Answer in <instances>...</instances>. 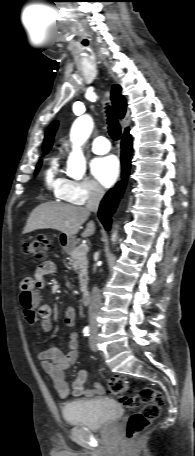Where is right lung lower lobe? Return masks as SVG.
Listing matches in <instances>:
<instances>
[{
    "instance_id": "1",
    "label": "right lung lower lobe",
    "mask_w": 195,
    "mask_h": 456,
    "mask_svg": "<svg viewBox=\"0 0 195 456\" xmlns=\"http://www.w3.org/2000/svg\"><path fill=\"white\" fill-rule=\"evenodd\" d=\"M121 146L122 181L118 182L114 188L107 192L100 204L98 212L99 219L106 230L110 229L111 215L115 212L118 201L124 192L126 180L130 170L132 138L128 131H125V134L123 135Z\"/></svg>"
}]
</instances>
